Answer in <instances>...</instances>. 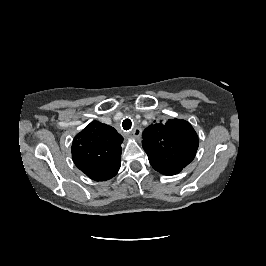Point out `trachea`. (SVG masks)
Masks as SVG:
<instances>
[{
    "mask_svg": "<svg viewBox=\"0 0 266 266\" xmlns=\"http://www.w3.org/2000/svg\"><path fill=\"white\" fill-rule=\"evenodd\" d=\"M122 127L124 130H129L131 127H132V122L130 119H125L123 122H122Z\"/></svg>",
    "mask_w": 266,
    "mask_h": 266,
    "instance_id": "1",
    "label": "trachea"
}]
</instances>
